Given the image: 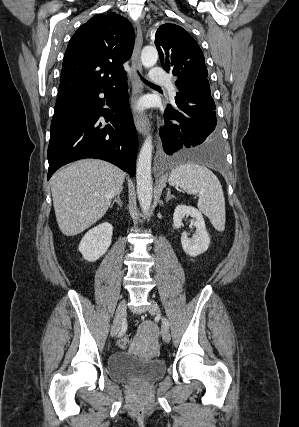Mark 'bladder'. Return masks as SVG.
I'll return each instance as SVG.
<instances>
[{
  "label": "bladder",
  "mask_w": 299,
  "mask_h": 427,
  "mask_svg": "<svg viewBox=\"0 0 299 427\" xmlns=\"http://www.w3.org/2000/svg\"><path fill=\"white\" fill-rule=\"evenodd\" d=\"M165 372L164 361L141 359L125 351L116 352L108 359V375L116 381H153L162 377Z\"/></svg>",
  "instance_id": "1"
}]
</instances>
